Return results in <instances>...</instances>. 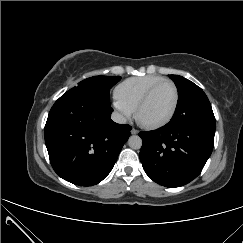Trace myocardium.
<instances>
[{"instance_id":"f54148a6","label":"myocardium","mask_w":243,"mask_h":243,"mask_svg":"<svg viewBox=\"0 0 243 243\" xmlns=\"http://www.w3.org/2000/svg\"><path fill=\"white\" fill-rule=\"evenodd\" d=\"M164 84H170L174 90V104L173 107L171 109V112L169 113V115L159 121V122H155V123H145L143 121L140 120L139 115L141 110L144 108V106L147 104V102L149 101V99L151 98L152 94L162 85ZM178 105H179V90L176 86V84L169 79H163L159 82H157L156 84H154L145 94L144 96L141 98V100L138 102L135 110H134V117L136 119V121L145 129L148 130H156V129H160L166 125H168L174 118L177 109H178Z\"/></svg>"}]
</instances>
